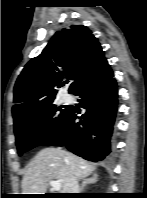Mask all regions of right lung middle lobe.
Instances as JSON below:
<instances>
[{
    "label": "right lung middle lobe",
    "mask_w": 147,
    "mask_h": 198,
    "mask_svg": "<svg viewBox=\"0 0 147 198\" xmlns=\"http://www.w3.org/2000/svg\"><path fill=\"white\" fill-rule=\"evenodd\" d=\"M70 110L53 102L14 122L19 156L53 137L65 123Z\"/></svg>",
    "instance_id": "dd1d6c3e"
}]
</instances>
